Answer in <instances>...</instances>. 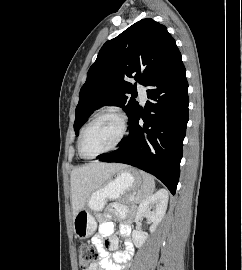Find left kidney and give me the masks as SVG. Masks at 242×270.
<instances>
[{
	"instance_id": "obj_1",
	"label": "left kidney",
	"mask_w": 242,
	"mask_h": 270,
	"mask_svg": "<svg viewBox=\"0 0 242 270\" xmlns=\"http://www.w3.org/2000/svg\"><path fill=\"white\" fill-rule=\"evenodd\" d=\"M168 192L166 189H160L155 194L145 198L138 207L136 214V221L146 217L152 225L150 232H154L157 225L161 222L165 215L168 204ZM148 238V233L141 230H134L132 232L133 243L136 247H141Z\"/></svg>"
}]
</instances>
